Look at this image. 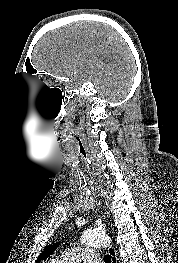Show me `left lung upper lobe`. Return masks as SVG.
Here are the masks:
<instances>
[{"mask_svg": "<svg viewBox=\"0 0 178 263\" xmlns=\"http://www.w3.org/2000/svg\"><path fill=\"white\" fill-rule=\"evenodd\" d=\"M59 242L53 243L47 246L44 251L38 256L36 263H40L42 260H46L59 246Z\"/></svg>", "mask_w": 178, "mask_h": 263, "instance_id": "left-lung-upper-lobe-1", "label": "left lung upper lobe"}]
</instances>
